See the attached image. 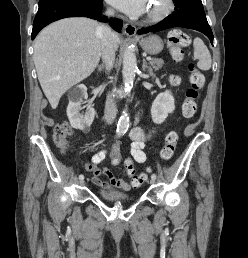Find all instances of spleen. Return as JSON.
I'll return each mask as SVG.
<instances>
[{
  "mask_svg": "<svg viewBox=\"0 0 248 258\" xmlns=\"http://www.w3.org/2000/svg\"><path fill=\"white\" fill-rule=\"evenodd\" d=\"M193 47L194 59L198 60L197 67L203 71L209 70L211 68L212 60L207 46L197 37L193 41Z\"/></svg>",
  "mask_w": 248,
  "mask_h": 258,
  "instance_id": "3e777b00",
  "label": "spleen"
}]
</instances>
